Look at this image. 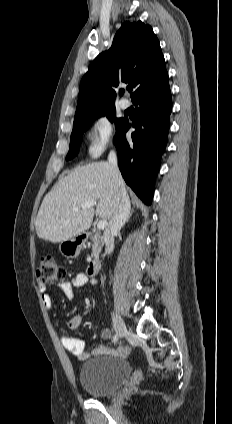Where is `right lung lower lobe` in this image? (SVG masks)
<instances>
[{
    "label": "right lung lower lobe",
    "mask_w": 232,
    "mask_h": 424,
    "mask_svg": "<svg viewBox=\"0 0 232 424\" xmlns=\"http://www.w3.org/2000/svg\"><path fill=\"white\" fill-rule=\"evenodd\" d=\"M133 103L139 105L135 119L132 125L124 120L115 134L114 144L124 180L149 205L170 127L172 101L167 71L152 88L139 94ZM131 126L135 128L132 139H126L125 134Z\"/></svg>",
    "instance_id": "obj_1"
}]
</instances>
